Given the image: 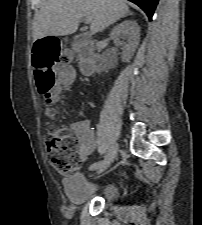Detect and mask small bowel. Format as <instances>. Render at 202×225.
<instances>
[{
    "label": "small bowel",
    "instance_id": "c3829d8e",
    "mask_svg": "<svg viewBox=\"0 0 202 225\" xmlns=\"http://www.w3.org/2000/svg\"><path fill=\"white\" fill-rule=\"evenodd\" d=\"M59 72L63 75L65 86L70 87L74 79L73 66H62L59 69ZM70 128L79 143V159L84 162L89 158L96 146V139L94 137L93 130L87 120L74 122L71 124Z\"/></svg>",
    "mask_w": 202,
    "mask_h": 225
}]
</instances>
